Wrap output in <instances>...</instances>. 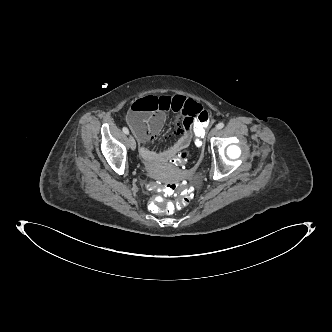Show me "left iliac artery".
I'll return each instance as SVG.
<instances>
[{
  "label": "left iliac artery",
  "instance_id": "left-iliac-artery-1",
  "mask_svg": "<svg viewBox=\"0 0 332 332\" xmlns=\"http://www.w3.org/2000/svg\"><path fill=\"white\" fill-rule=\"evenodd\" d=\"M216 127L217 129H222L224 127V123L220 122Z\"/></svg>",
  "mask_w": 332,
  "mask_h": 332
}]
</instances>
